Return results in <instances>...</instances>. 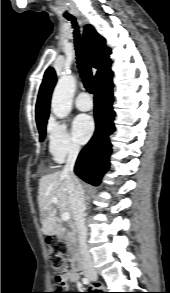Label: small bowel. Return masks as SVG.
<instances>
[{
	"label": "small bowel",
	"instance_id": "small-bowel-1",
	"mask_svg": "<svg viewBox=\"0 0 170 293\" xmlns=\"http://www.w3.org/2000/svg\"><path fill=\"white\" fill-rule=\"evenodd\" d=\"M67 280L69 283H76V284L80 283L79 276L76 272H69L67 274Z\"/></svg>",
	"mask_w": 170,
	"mask_h": 293
}]
</instances>
